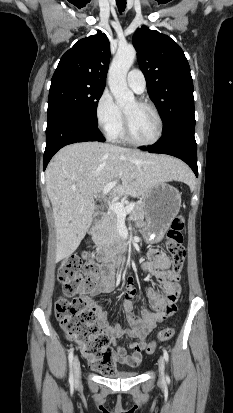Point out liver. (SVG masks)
<instances>
[{"instance_id":"6515ba94","label":"liver","mask_w":233,"mask_h":413,"mask_svg":"<svg viewBox=\"0 0 233 413\" xmlns=\"http://www.w3.org/2000/svg\"><path fill=\"white\" fill-rule=\"evenodd\" d=\"M188 174V167L175 158L112 144L80 142L62 148L46 169L56 262L76 251L92 224L94 199L110 182H117L112 195L138 197L156 184L184 180Z\"/></svg>"}]
</instances>
